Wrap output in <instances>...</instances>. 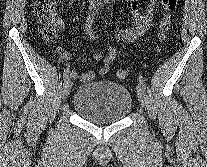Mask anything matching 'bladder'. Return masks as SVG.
<instances>
[{
    "mask_svg": "<svg viewBox=\"0 0 207 167\" xmlns=\"http://www.w3.org/2000/svg\"><path fill=\"white\" fill-rule=\"evenodd\" d=\"M132 107L129 90L112 81L81 85L73 99V108L84 119L95 123H113L125 118Z\"/></svg>",
    "mask_w": 207,
    "mask_h": 167,
    "instance_id": "obj_1",
    "label": "bladder"
}]
</instances>
